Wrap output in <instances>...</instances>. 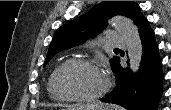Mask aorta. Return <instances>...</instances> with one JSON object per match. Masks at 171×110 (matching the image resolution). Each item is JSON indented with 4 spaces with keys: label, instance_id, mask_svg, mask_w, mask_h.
<instances>
[{
    "label": "aorta",
    "instance_id": "1",
    "mask_svg": "<svg viewBox=\"0 0 171 110\" xmlns=\"http://www.w3.org/2000/svg\"><path fill=\"white\" fill-rule=\"evenodd\" d=\"M110 22L124 38L130 69L133 73H137L140 68L143 47L136 25L131 19L124 16H115Z\"/></svg>",
    "mask_w": 171,
    "mask_h": 110
}]
</instances>
